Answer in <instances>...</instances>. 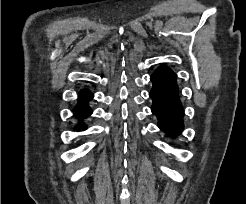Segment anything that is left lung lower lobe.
<instances>
[{"mask_svg":"<svg viewBox=\"0 0 246 204\" xmlns=\"http://www.w3.org/2000/svg\"><path fill=\"white\" fill-rule=\"evenodd\" d=\"M152 113L158 117V126L166 134L176 136L183 130V108L179 101L176 74L168 67H159L152 75Z\"/></svg>","mask_w":246,"mask_h":204,"instance_id":"left-lung-lower-lobe-1","label":"left lung lower lobe"}]
</instances>
